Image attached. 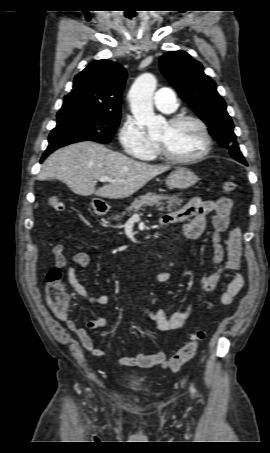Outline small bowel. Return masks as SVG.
<instances>
[{"instance_id": "obj_1", "label": "small bowel", "mask_w": 270, "mask_h": 453, "mask_svg": "<svg viewBox=\"0 0 270 453\" xmlns=\"http://www.w3.org/2000/svg\"><path fill=\"white\" fill-rule=\"evenodd\" d=\"M232 207L233 201L228 197H221L216 201H205L199 198H192L183 208L166 214L162 219V224L164 226L181 223L185 237L189 240H198L205 230L207 216H210L211 218L213 229L212 262L217 269L214 273L201 281L200 289L205 293L213 292L228 273L232 274V278L225 290L221 293L218 304H209L203 312L211 311L218 305L231 304L235 295L244 285V277L240 272L242 262V232L240 228L231 226L230 216ZM224 232H228L226 248L222 244V234ZM52 253L55 259V266L64 270L69 285L77 295L95 306H103L109 302L107 294H90L77 277L75 265L82 269L86 268L90 262L87 253H76L73 257V264L68 263L65 257V246L63 244L54 245ZM225 255L227 258L226 262L221 266ZM172 275L171 270H164L156 275L155 281L158 283H165L172 278ZM146 310L159 330H177L184 327L190 318L193 311V303H189L182 310L173 312L170 316H168L160 307L151 308L146 306ZM57 317L65 322L70 330L77 334L82 346L89 354L93 356H102L105 354V351L102 348L94 346L88 330L105 327L108 324V319L106 317H98L94 320H90L84 326H79L77 321L69 317V315ZM165 361L166 354L162 351L154 354L137 353L119 358V363L123 366L142 368L158 366Z\"/></svg>"}]
</instances>
